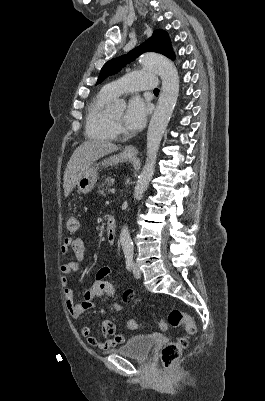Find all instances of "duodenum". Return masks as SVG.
<instances>
[{"mask_svg": "<svg viewBox=\"0 0 265 401\" xmlns=\"http://www.w3.org/2000/svg\"><path fill=\"white\" fill-rule=\"evenodd\" d=\"M117 224L113 216L108 215L106 217V237L110 244H114L116 241Z\"/></svg>", "mask_w": 265, "mask_h": 401, "instance_id": "1", "label": "duodenum"}]
</instances>
